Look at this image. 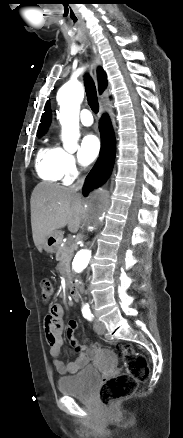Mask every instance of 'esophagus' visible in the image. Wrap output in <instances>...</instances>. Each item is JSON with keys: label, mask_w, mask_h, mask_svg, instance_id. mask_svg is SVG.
<instances>
[{"label": "esophagus", "mask_w": 183, "mask_h": 438, "mask_svg": "<svg viewBox=\"0 0 183 438\" xmlns=\"http://www.w3.org/2000/svg\"><path fill=\"white\" fill-rule=\"evenodd\" d=\"M87 46L90 48L92 47L90 43H87ZM100 65H101L100 55L93 50L91 55L90 73L96 83H97V68ZM103 112H104V108L102 103L100 102L99 116H101Z\"/></svg>", "instance_id": "obj_1"}]
</instances>
